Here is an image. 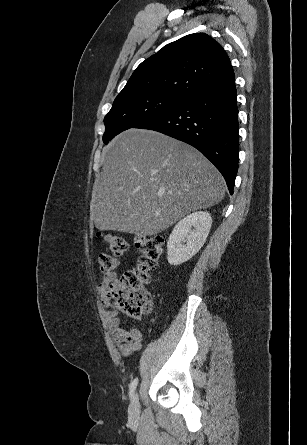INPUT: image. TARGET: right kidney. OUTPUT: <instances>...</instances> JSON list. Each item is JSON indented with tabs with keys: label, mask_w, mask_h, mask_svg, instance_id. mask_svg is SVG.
I'll list each match as a JSON object with an SVG mask.
<instances>
[{
	"label": "right kidney",
	"mask_w": 307,
	"mask_h": 445,
	"mask_svg": "<svg viewBox=\"0 0 307 445\" xmlns=\"http://www.w3.org/2000/svg\"><path fill=\"white\" fill-rule=\"evenodd\" d=\"M209 212L199 210L187 214L175 225L167 243V261L170 265H182L203 247L211 229Z\"/></svg>",
	"instance_id": "right-kidney-1"
}]
</instances>
